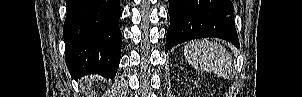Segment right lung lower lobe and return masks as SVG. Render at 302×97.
I'll return each instance as SVG.
<instances>
[{"label": "right lung lower lobe", "mask_w": 302, "mask_h": 97, "mask_svg": "<svg viewBox=\"0 0 302 97\" xmlns=\"http://www.w3.org/2000/svg\"><path fill=\"white\" fill-rule=\"evenodd\" d=\"M120 0H67L63 28L71 76L116 73L120 52Z\"/></svg>", "instance_id": "obj_1"}]
</instances>
